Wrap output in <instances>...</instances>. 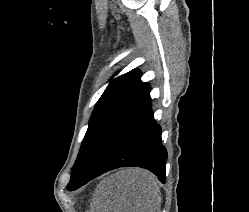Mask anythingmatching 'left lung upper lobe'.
Here are the masks:
<instances>
[{"label": "left lung upper lobe", "instance_id": "left-lung-upper-lobe-1", "mask_svg": "<svg viewBox=\"0 0 249 212\" xmlns=\"http://www.w3.org/2000/svg\"><path fill=\"white\" fill-rule=\"evenodd\" d=\"M141 75L139 70H132L115 78L107 86L89 120L70 182L80 176L109 129L149 87L148 83L140 80Z\"/></svg>", "mask_w": 249, "mask_h": 212}]
</instances>
